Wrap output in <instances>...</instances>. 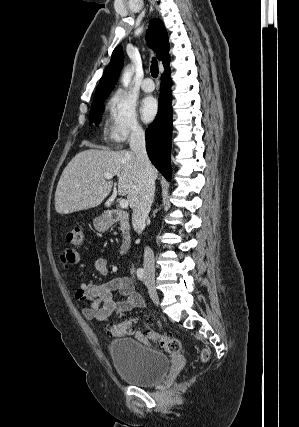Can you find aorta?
<instances>
[{"instance_id":"obj_1","label":"aorta","mask_w":299,"mask_h":427,"mask_svg":"<svg viewBox=\"0 0 299 427\" xmlns=\"http://www.w3.org/2000/svg\"><path fill=\"white\" fill-rule=\"evenodd\" d=\"M132 75H133V72L129 68H127L124 71L123 76H122V83H123L124 87H127L129 85L131 78H132Z\"/></svg>"}]
</instances>
